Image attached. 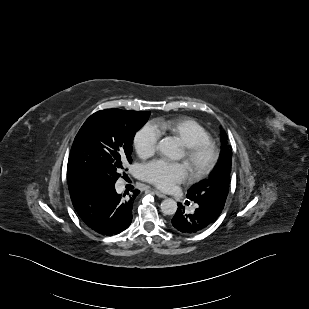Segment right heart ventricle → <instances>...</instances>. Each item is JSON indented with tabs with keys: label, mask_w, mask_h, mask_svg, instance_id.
<instances>
[{
	"label": "right heart ventricle",
	"mask_w": 309,
	"mask_h": 309,
	"mask_svg": "<svg viewBox=\"0 0 309 309\" xmlns=\"http://www.w3.org/2000/svg\"><path fill=\"white\" fill-rule=\"evenodd\" d=\"M157 125L162 130L178 137L185 146L211 140V135L205 127L192 118L161 120Z\"/></svg>",
	"instance_id": "right-heart-ventricle-1"
}]
</instances>
